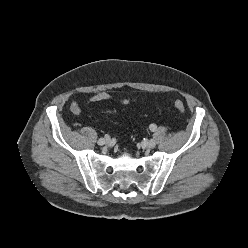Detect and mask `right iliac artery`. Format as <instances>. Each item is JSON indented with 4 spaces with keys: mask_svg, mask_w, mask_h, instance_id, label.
I'll list each match as a JSON object with an SVG mask.
<instances>
[{
    "mask_svg": "<svg viewBox=\"0 0 248 248\" xmlns=\"http://www.w3.org/2000/svg\"><path fill=\"white\" fill-rule=\"evenodd\" d=\"M97 146H102L103 145V140L102 139H98L96 142Z\"/></svg>",
    "mask_w": 248,
    "mask_h": 248,
    "instance_id": "right-iliac-artery-1",
    "label": "right iliac artery"
}]
</instances>
